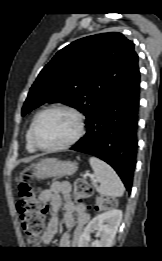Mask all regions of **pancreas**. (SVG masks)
<instances>
[{
    "instance_id": "pancreas-1",
    "label": "pancreas",
    "mask_w": 162,
    "mask_h": 261,
    "mask_svg": "<svg viewBox=\"0 0 162 261\" xmlns=\"http://www.w3.org/2000/svg\"><path fill=\"white\" fill-rule=\"evenodd\" d=\"M94 186H96V184L95 183H92Z\"/></svg>"
}]
</instances>
